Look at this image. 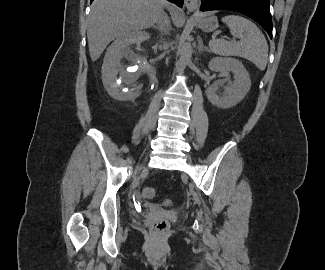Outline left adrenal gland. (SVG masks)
Segmentation results:
<instances>
[{
	"mask_svg": "<svg viewBox=\"0 0 325 270\" xmlns=\"http://www.w3.org/2000/svg\"><path fill=\"white\" fill-rule=\"evenodd\" d=\"M198 51H199V53L204 52V51H209L207 49V47H205L203 45V41H202V39L200 37H199V40H198Z\"/></svg>",
	"mask_w": 325,
	"mask_h": 270,
	"instance_id": "obj_1",
	"label": "left adrenal gland"
}]
</instances>
